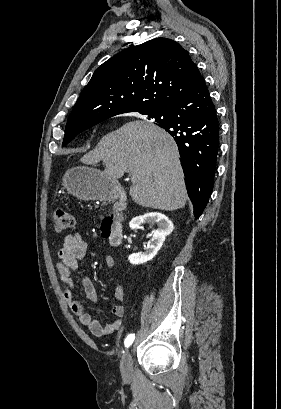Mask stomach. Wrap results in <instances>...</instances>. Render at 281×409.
<instances>
[{"mask_svg": "<svg viewBox=\"0 0 281 409\" xmlns=\"http://www.w3.org/2000/svg\"><path fill=\"white\" fill-rule=\"evenodd\" d=\"M70 194L80 200H113L119 196L121 184L102 170L91 166H74L66 170L62 182Z\"/></svg>", "mask_w": 281, "mask_h": 409, "instance_id": "1", "label": "stomach"}]
</instances>
